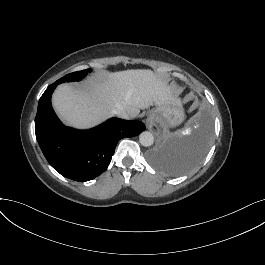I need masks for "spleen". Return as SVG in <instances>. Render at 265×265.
Here are the masks:
<instances>
[{
	"label": "spleen",
	"mask_w": 265,
	"mask_h": 265,
	"mask_svg": "<svg viewBox=\"0 0 265 265\" xmlns=\"http://www.w3.org/2000/svg\"><path fill=\"white\" fill-rule=\"evenodd\" d=\"M182 131H185V129L183 128L180 133H182ZM178 134H179V132H176V135H178Z\"/></svg>",
	"instance_id": "obj_1"
}]
</instances>
